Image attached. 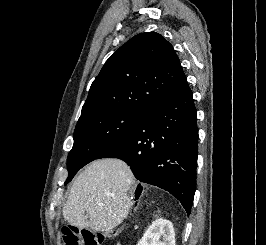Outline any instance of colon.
<instances>
[{
  "instance_id": "colon-1",
  "label": "colon",
  "mask_w": 266,
  "mask_h": 245,
  "mask_svg": "<svg viewBox=\"0 0 266 245\" xmlns=\"http://www.w3.org/2000/svg\"><path fill=\"white\" fill-rule=\"evenodd\" d=\"M106 235L67 225L61 230L62 245H102Z\"/></svg>"
}]
</instances>
